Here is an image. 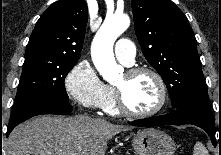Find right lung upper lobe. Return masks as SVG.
<instances>
[{"instance_id":"1","label":"right lung upper lobe","mask_w":221,"mask_h":155,"mask_svg":"<svg viewBox=\"0 0 221 155\" xmlns=\"http://www.w3.org/2000/svg\"><path fill=\"white\" fill-rule=\"evenodd\" d=\"M88 21L85 0H59L37 21L24 57L78 61Z\"/></svg>"}]
</instances>
